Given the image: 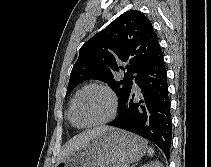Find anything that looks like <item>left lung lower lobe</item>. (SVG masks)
Returning a JSON list of instances; mask_svg holds the SVG:
<instances>
[{
    "instance_id": "left-lung-lower-lobe-1",
    "label": "left lung lower lobe",
    "mask_w": 211,
    "mask_h": 167,
    "mask_svg": "<svg viewBox=\"0 0 211 167\" xmlns=\"http://www.w3.org/2000/svg\"><path fill=\"white\" fill-rule=\"evenodd\" d=\"M120 103V114L110 126L118 127L155 143L168 158L172 139L170 99L163 53L159 47L147 66L136 76Z\"/></svg>"
}]
</instances>
